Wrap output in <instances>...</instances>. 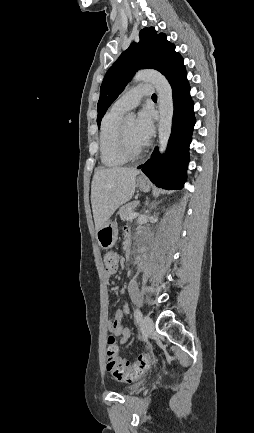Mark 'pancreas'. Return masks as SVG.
Instances as JSON below:
<instances>
[{
	"instance_id": "1",
	"label": "pancreas",
	"mask_w": 254,
	"mask_h": 433,
	"mask_svg": "<svg viewBox=\"0 0 254 433\" xmlns=\"http://www.w3.org/2000/svg\"><path fill=\"white\" fill-rule=\"evenodd\" d=\"M139 204L138 201L130 202L122 206L119 210L121 220H130L129 216L133 213V209Z\"/></svg>"
}]
</instances>
